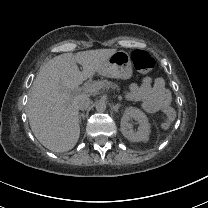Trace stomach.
Listing matches in <instances>:
<instances>
[{
  "label": "stomach",
  "instance_id": "stomach-1",
  "mask_svg": "<svg viewBox=\"0 0 208 208\" xmlns=\"http://www.w3.org/2000/svg\"><path fill=\"white\" fill-rule=\"evenodd\" d=\"M97 73L110 78L124 80L131 78L132 64L129 54L122 50L116 51L103 62Z\"/></svg>",
  "mask_w": 208,
  "mask_h": 208
}]
</instances>
